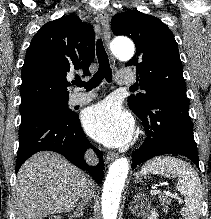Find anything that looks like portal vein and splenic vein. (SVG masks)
<instances>
[{
  "instance_id": "18ae733b",
  "label": "portal vein and splenic vein",
  "mask_w": 211,
  "mask_h": 219,
  "mask_svg": "<svg viewBox=\"0 0 211 219\" xmlns=\"http://www.w3.org/2000/svg\"><path fill=\"white\" fill-rule=\"evenodd\" d=\"M159 193H161V190H160V189H154V190L151 191V194H159ZM165 193H166L167 195L171 196V197L176 198V196H175L174 194L170 193V192H165Z\"/></svg>"
}]
</instances>
